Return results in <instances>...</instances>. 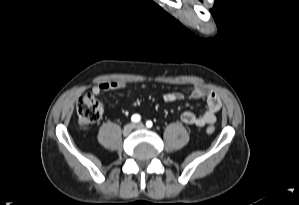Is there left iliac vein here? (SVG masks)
I'll use <instances>...</instances> for the list:
<instances>
[{
  "label": "left iliac vein",
  "mask_w": 299,
  "mask_h": 205,
  "mask_svg": "<svg viewBox=\"0 0 299 205\" xmlns=\"http://www.w3.org/2000/svg\"><path fill=\"white\" fill-rule=\"evenodd\" d=\"M134 127L136 128V129H142V128H144V125H143V123H136L135 125H134Z\"/></svg>",
  "instance_id": "1"
}]
</instances>
